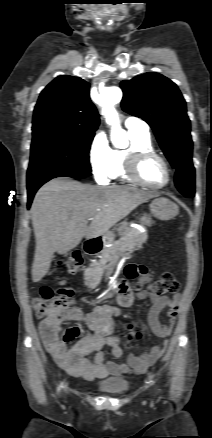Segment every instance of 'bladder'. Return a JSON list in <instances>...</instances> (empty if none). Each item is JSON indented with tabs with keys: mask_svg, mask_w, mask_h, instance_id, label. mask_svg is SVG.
I'll return each instance as SVG.
<instances>
[{
	"mask_svg": "<svg viewBox=\"0 0 212 438\" xmlns=\"http://www.w3.org/2000/svg\"><path fill=\"white\" fill-rule=\"evenodd\" d=\"M128 381L126 379L107 378L97 384L99 391L107 394H122L128 390Z\"/></svg>",
	"mask_w": 212,
	"mask_h": 438,
	"instance_id": "obj_1",
	"label": "bladder"
}]
</instances>
